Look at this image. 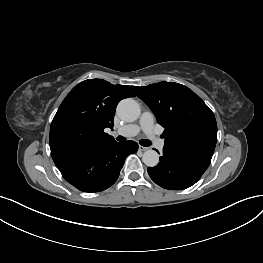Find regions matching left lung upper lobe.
I'll list each match as a JSON object with an SVG mask.
<instances>
[{"instance_id":"5c2ea615","label":"left lung upper lobe","mask_w":263,"mask_h":263,"mask_svg":"<svg viewBox=\"0 0 263 263\" xmlns=\"http://www.w3.org/2000/svg\"><path fill=\"white\" fill-rule=\"evenodd\" d=\"M136 95L155 114L165 128L164 149L211 161L217 141L213 112L188 87L174 82L133 86Z\"/></svg>"}]
</instances>
